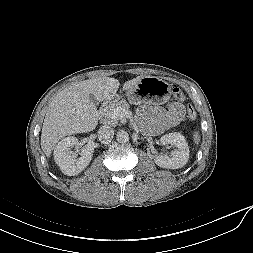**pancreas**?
I'll use <instances>...</instances> for the list:
<instances>
[{
  "label": "pancreas",
  "mask_w": 253,
  "mask_h": 253,
  "mask_svg": "<svg viewBox=\"0 0 253 253\" xmlns=\"http://www.w3.org/2000/svg\"><path fill=\"white\" fill-rule=\"evenodd\" d=\"M129 108V104L126 100L122 99L120 101H117L113 104H111L110 106H108L107 108H105L102 111V116L104 117V122L106 124H109L111 126H115L118 124V120L119 119H113L112 118V114L116 109H128Z\"/></svg>",
  "instance_id": "pancreas-1"
}]
</instances>
